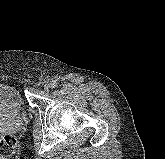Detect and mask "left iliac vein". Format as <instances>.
Returning a JSON list of instances; mask_svg holds the SVG:
<instances>
[{"label": "left iliac vein", "instance_id": "obj_1", "mask_svg": "<svg viewBox=\"0 0 165 159\" xmlns=\"http://www.w3.org/2000/svg\"><path fill=\"white\" fill-rule=\"evenodd\" d=\"M51 88H53L52 87V83H46L45 85H44V89H45V91H49Z\"/></svg>", "mask_w": 165, "mask_h": 159}]
</instances>
